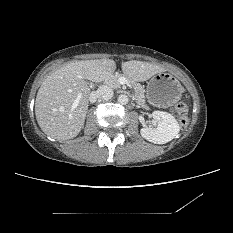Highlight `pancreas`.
Instances as JSON below:
<instances>
[{
	"mask_svg": "<svg viewBox=\"0 0 233 233\" xmlns=\"http://www.w3.org/2000/svg\"><path fill=\"white\" fill-rule=\"evenodd\" d=\"M121 77H122V74H119V73L111 75L110 77L107 78L106 84L114 89L120 88L121 84L119 83V79ZM128 81L131 83V85L134 88L137 103L141 106H145L144 88L141 86V84L137 83L136 81H133L129 78H128Z\"/></svg>",
	"mask_w": 233,
	"mask_h": 233,
	"instance_id": "obj_1",
	"label": "pancreas"
}]
</instances>
